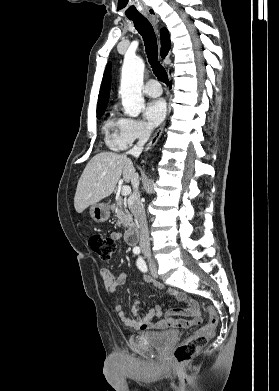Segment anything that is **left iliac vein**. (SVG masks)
Here are the masks:
<instances>
[{
  "instance_id": "obj_1",
  "label": "left iliac vein",
  "mask_w": 279,
  "mask_h": 391,
  "mask_svg": "<svg viewBox=\"0 0 279 391\" xmlns=\"http://www.w3.org/2000/svg\"><path fill=\"white\" fill-rule=\"evenodd\" d=\"M150 273L154 278L158 277L157 267L154 263H150L149 265Z\"/></svg>"
}]
</instances>
